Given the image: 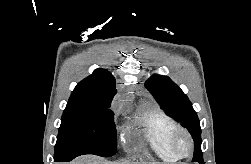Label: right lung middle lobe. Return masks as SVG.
<instances>
[{
  "label": "right lung middle lobe",
  "instance_id": "dd1d6c3e",
  "mask_svg": "<svg viewBox=\"0 0 251 164\" xmlns=\"http://www.w3.org/2000/svg\"><path fill=\"white\" fill-rule=\"evenodd\" d=\"M110 106L69 100L61 119L54 157L114 155L117 149L116 130Z\"/></svg>",
  "mask_w": 251,
  "mask_h": 164
}]
</instances>
